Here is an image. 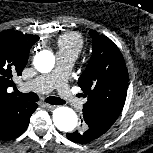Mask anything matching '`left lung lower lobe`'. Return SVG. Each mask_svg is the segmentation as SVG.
<instances>
[{
	"label": "left lung lower lobe",
	"instance_id": "1",
	"mask_svg": "<svg viewBox=\"0 0 153 153\" xmlns=\"http://www.w3.org/2000/svg\"><path fill=\"white\" fill-rule=\"evenodd\" d=\"M66 136L69 140L75 143H88L100 137L95 133L89 132L88 130L83 132L75 131L73 133H67Z\"/></svg>",
	"mask_w": 153,
	"mask_h": 153
}]
</instances>
